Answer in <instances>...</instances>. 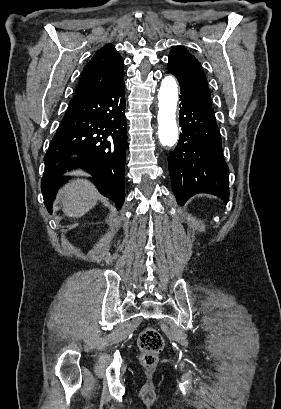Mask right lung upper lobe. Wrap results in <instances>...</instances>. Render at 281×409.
I'll use <instances>...</instances> for the list:
<instances>
[{"label": "right lung upper lobe", "instance_id": "cb5924a9", "mask_svg": "<svg viewBox=\"0 0 281 409\" xmlns=\"http://www.w3.org/2000/svg\"><path fill=\"white\" fill-rule=\"evenodd\" d=\"M123 76V59L114 46L108 44L99 49L84 68L73 99L98 94Z\"/></svg>", "mask_w": 281, "mask_h": 409}]
</instances>
